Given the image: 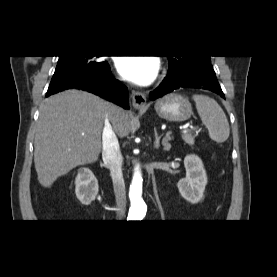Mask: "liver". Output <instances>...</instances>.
Masks as SVG:
<instances>
[{
    "label": "liver",
    "instance_id": "1",
    "mask_svg": "<svg viewBox=\"0 0 277 277\" xmlns=\"http://www.w3.org/2000/svg\"><path fill=\"white\" fill-rule=\"evenodd\" d=\"M39 110L34 164L43 187H50L73 168L98 159L108 116L118 136L125 137L130 132L126 111L80 90L55 94L47 98Z\"/></svg>",
    "mask_w": 277,
    "mask_h": 277
}]
</instances>
